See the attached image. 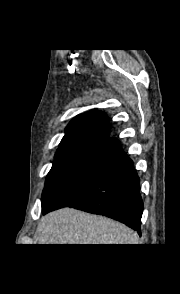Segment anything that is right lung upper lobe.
<instances>
[{"mask_svg":"<svg viewBox=\"0 0 180 294\" xmlns=\"http://www.w3.org/2000/svg\"><path fill=\"white\" fill-rule=\"evenodd\" d=\"M109 134L110 124L106 115L89 111L71 120L60 145L79 142L101 144L109 138Z\"/></svg>","mask_w":180,"mask_h":294,"instance_id":"1","label":"right lung upper lobe"}]
</instances>
